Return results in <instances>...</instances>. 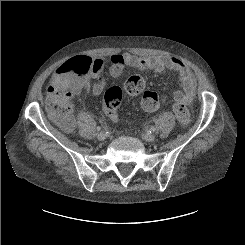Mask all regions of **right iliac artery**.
Masks as SVG:
<instances>
[{"label":"right iliac artery","instance_id":"right-iliac-artery-1","mask_svg":"<svg viewBox=\"0 0 245 245\" xmlns=\"http://www.w3.org/2000/svg\"><path fill=\"white\" fill-rule=\"evenodd\" d=\"M97 130L100 131V130H101V127L98 126V127H97Z\"/></svg>","mask_w":245,"mask_h":245}]
</instances>
